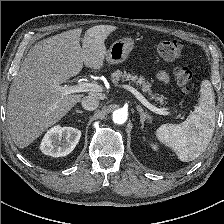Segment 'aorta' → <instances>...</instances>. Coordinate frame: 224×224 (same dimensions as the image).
<instances>
[{
    "label": "aorta",
    "instance_id": "762f6f07",
    "mask_svg": "<svg viewBox=\"0 0 224 224\" xmlns=\"http://www.w3.org/2000/svg\"><path fill=\"white\" fill-rule=\"evenodd\" d=\"M128 113L123 109L115 110L112 114V120L115 124H124L127 120Z\"/></svg>",
    "mask_w": 224,
    "mask_h": 224
}]
</instances>
